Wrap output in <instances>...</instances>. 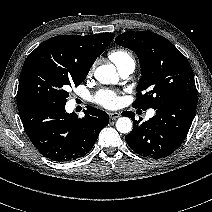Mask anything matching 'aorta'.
Wrapping results in <instances>:
<instances>
[{
	"mask_svg": "<svg viewBox=\"0 0 212 212\" xmlns=\"http://www.w3.org/2000/svg\"><path fill=\"white\" fill-rule=\"evenodd\" d=\"M95 78L102 84H110L116 79V72L113 65L99 66L94 73ZM132 121L128 117L118 118L116 129L120 133H129L132 130Z\"/></svg>",
	"mask_w": 212,
	"mask_h": 212,
	"instance_id": "aorta-1",
	"label": "aorta"
}]
</instances>
